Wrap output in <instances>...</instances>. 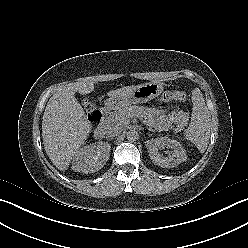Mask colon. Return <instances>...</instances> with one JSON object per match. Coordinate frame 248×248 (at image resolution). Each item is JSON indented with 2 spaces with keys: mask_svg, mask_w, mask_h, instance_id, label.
I'll return each instance as SVG.
<instances>
[{
  "mask_svg": "<svg viewBox=\"0 0 248 248\" xmlns=\"http://www.w3.org/2000/svg\"><path fill=\"white\" fill-rule=\"evenodd\" d=\"M160 101H178V102H186L187 95L182 91H166L160 96ZM85 110L87 113L88 120L92 124H96L99 117L100 109L98 108L96 102L91 99H86L84 102Z\"/></svg>",
  "mask_w": 248,
  "mask_h": 248,
  "instance_id": "5ec220e1",
  "label": "colon"
}]
</instances>
